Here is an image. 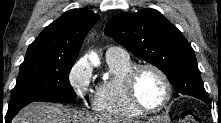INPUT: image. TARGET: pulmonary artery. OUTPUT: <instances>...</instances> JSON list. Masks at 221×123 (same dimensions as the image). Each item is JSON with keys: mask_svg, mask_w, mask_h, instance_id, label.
<instances>
[{"mask_svg": "<svg viewBox=\"0 0 221 123\" xmlns=\"http://www.w3.org/2000/svg\"><path fill=\"white\" fill-rule=\"evenodd\" d=\"M128 58H129L128 53L120 47L111 46L106 50V59L107 60H110V59H128Z\"/></svg>", "mask_w": 221, "mask_h": 123, "instance_id": "pulmonary-artery-1", "label": "pulmonary artery"}]
</instances>
